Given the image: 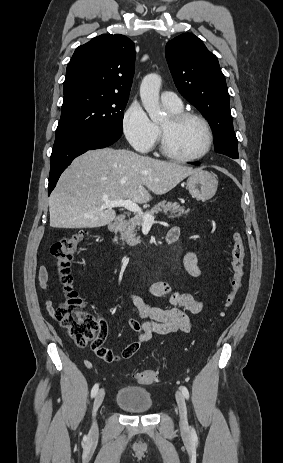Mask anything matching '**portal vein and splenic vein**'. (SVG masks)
<instances>
[{
	"instance_id": "obj_1",
	"label": "portal vein and splenic vein",
	"mask_w": 283,
	"mask_h": 463,
	"mask_svg": "<svg viewBox=\"0 0 283 463\" xmlns=\"http://www.w3.org/2000/svg\"><path fill=\"white\" fill-rule=\"evenodd\" d=\"M104 207H124L131 212L137 213L138 216H141L143 218L144 224L151 225L154 223L155 217L149 214H144L139 205L130 199H120L113 201L105 200Z\"/></svg>"
}]
</instances>
